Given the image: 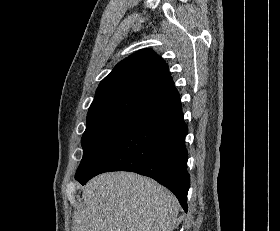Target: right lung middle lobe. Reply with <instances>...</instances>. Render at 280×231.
<instances>
[{"label": "right lung middle lobe", "instance_id": "dd1d6c3e", "mask_svg": "<svg viewBox=\"0 0 280 231\" xmlns=\"http://www.w3.org/2000/svg\"><path fill=\"white\" fill-rule=\"evenodd\" d=\"M135 124L127 119H87V127L81 140L83 158L75 176L80 174L108 143Z\"/></svg>", "mask_w": 280, "mask_h": 231}]
</instances>
